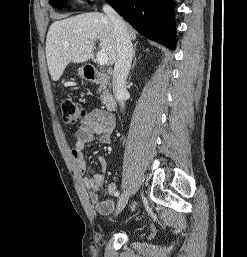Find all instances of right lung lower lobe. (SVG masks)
<instances>
[{"instance_id": "1", "label": "right lung lower lobe", "mask_w": 247, "mask_h": 257, "mask_svg": "<svg viewBox=\"0 0 247 257\" xmlns=\"http://www.w3.org/2000/svg\"><path fill=\"white\" fill-rule=\"evenodd\" d=\"M141 35L175 49L173 0H107Z\"/></svg>"}]
</instances>
